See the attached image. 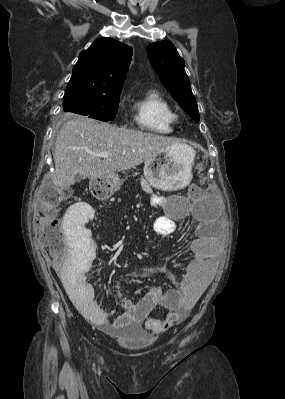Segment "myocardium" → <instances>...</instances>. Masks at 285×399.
Here are the masks:
<instances>
[{
    "mask_svg": "<svg viewBox=\"0 0 285 399\" xmlns=\"http://www.w3.org/2000/svg\"><path fill=\"white\" fill-rule=\"evenodd\" d=\"M174 118H175V120H176L177 116H176V115H174Z\"/></svg>",
    "mask_w": 285,
    "mask_h": 399,
    "instance_id": "f54148a6",
    "label": "myocardium"
}]
</instances>
